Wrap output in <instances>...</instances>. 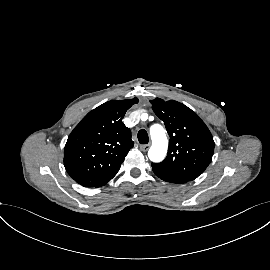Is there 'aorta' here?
<instances>
[{"mask_svg": "<svg viewBox=\"0 0 270 270\" xmlns=\"http://www.w3.org/2000/svg\"><path fill=\"white\" fill-rule=\"evenodd\" d=\"M152 146L148 151V157L152 162H161L167 153L168 140L164 128L159 124L150 127Z\"/></svg>", "mask_w": 270, "mask_h": 270, "instance_id": "762f6f07", "label": "aorta"}]
</instances>
